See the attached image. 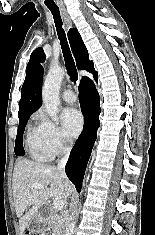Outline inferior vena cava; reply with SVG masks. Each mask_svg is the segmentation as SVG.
<instances>
[{
	"label": "inferior vena cava",
	"instance_id": "inferior-vena-cava-1",
	"mask_svg": "<svg viewBox=\"0 0 155 235\" xmlns=\"http://www.w3.org/2000/svg\"><path fill=\"white\" fill-rule=\"evenodd\" d=\"M71 147H66L64 149V157L58 162L57 169L62 170L68 160Z\"/></svg>",
	"mask_w": 155,
	"mask_h": 235
}]
</instances>
